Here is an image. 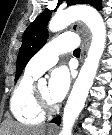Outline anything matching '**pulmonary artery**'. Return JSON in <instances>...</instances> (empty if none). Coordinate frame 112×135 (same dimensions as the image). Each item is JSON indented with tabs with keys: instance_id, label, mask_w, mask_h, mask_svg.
<instances>
[{
	"instance_id": "e3ab8cb5",
	"label": "pulmonary artery",
	"mask_w": 112,
	"mask_h": 135,
	"mask_svg": "<svg viewBox=\"0 0 112 135\" xmlns=\"http://www.w3.org/2000/svg\"><path fill=\"white\" fill-rule=\"evenodd\" d=\"M78 37L74 33H65L48 42L28 63L26 71L40 76L54 66L61 53L77 48Z\"/></svg>"
}]
</instances>
